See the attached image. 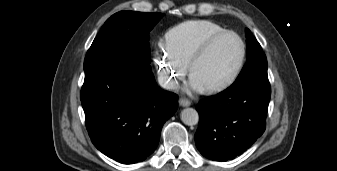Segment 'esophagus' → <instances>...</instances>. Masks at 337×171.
<instances>
[{
    "label": "esophagus",
    "instance_id": "34e87169",
    "mask_svg": "<svg viewBox=\"0 0 337 171\" xmlns=\"http://www.w3.org/2000/svg\"><path fill=\"white\" fill-rule=\"evenodd\" d=\"M179 104H180V106H182V107H188V106L191 105V102H190L188 99L180 98V99H179Z\"/></svg>",
    "mask_w": 337,
    "mask_h": 171
}]
</instances>
